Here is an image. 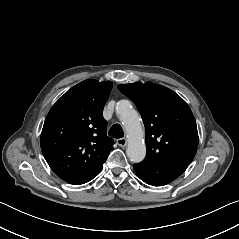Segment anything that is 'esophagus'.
Returning <instances> with one entry per match:
<instances>
[{"label":"esophagus","instance_id":"esophagus-1","mask_svg":"<svg viewBox=\"0 0 239 239\" xmlns=\"http://www.w3.org/2000/svg\"><path fill=\"white\" fill-rule=\"evenodd\" d=\"M128 141L126 138H121L117 140V144L121 147H125L127 145Z\"/></svg>","mask_w":239,"mask_h":239}]
</instances>
